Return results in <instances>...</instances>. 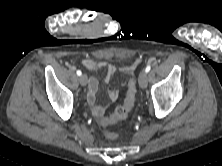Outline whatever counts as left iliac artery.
I'll return each instance as SVG.
<instances>
[{"instance_id":"left-iliac-artery-1","label":"left iliac artery","mask_w":222,"mask_h":166,"mask_svg":"<svg viewBox=\"0 0 222 166\" xmlns=\"http://www.w3.org/2000/svg\"><path fill=\"white\" fill-rule=\"evenodd\" d=\"M151 70V66L147 65V67L145 68V72L148 73Z\"/></svg>"}]
</instances>
